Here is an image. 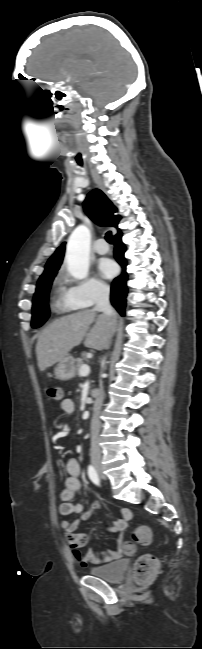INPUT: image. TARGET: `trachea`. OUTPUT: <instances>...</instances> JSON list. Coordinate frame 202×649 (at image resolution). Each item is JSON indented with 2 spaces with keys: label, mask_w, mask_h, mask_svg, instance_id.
Masks as SVG:
<instances>
[{
  "label": "trachea",
  "mask_w": 202,
  "mask_h": 649,
  "mask_svg": "<svg viewBox=\"0 0 202 649\" xmlns=\"http://www.w3.org/2000/svg\"><path fill=\"white\" fill-rule=\"evenodd\" d=\"M105 239H106V241H107L108 243H110V244L113 243L112 233H111L110 231H108V232L106 233V235H105Z\"/></svg>",
  "instance_id": "3493384b"
}]
</instances>
